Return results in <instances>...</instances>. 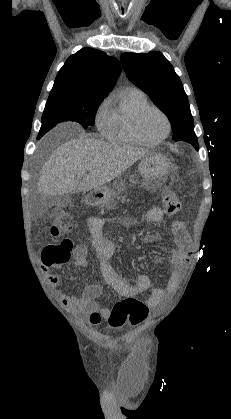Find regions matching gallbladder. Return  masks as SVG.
I'll list each match as a JSON object with an SVG mask.
<instances>
[{
    "label": "gallbladder",
    "mask_w": 231,
    "mask_h": 419,
    "mask_svg": "<svg viewBox=\"0 0 231 419\" xmlns=\"http://www.w3.org/2000/svg\"><path fill=\"white\" fill-rule=\"evenodd\" d=\"M49 202L52 203L53 205L66 206L71 203V197L70 195L65 194V195H61L58 198H51Z\"/></svg>",
    "instance_id": "obj_1"
}]
</instances>
